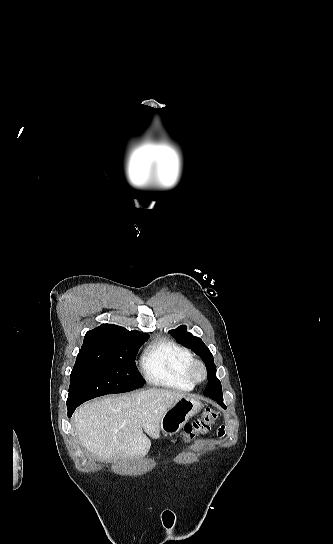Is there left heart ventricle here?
<instances>
[{"mask_svg": "<svg viewBox=\"0 0 333 544\" xmlns=\"http://www.w3.org/2000/svg\"><path fill=\"white\" fill-rule=\"evenodd\" d=\"M198 376H201V373H200V372H198Z\"/></svg>", "mask_w": 333, "mask_h": 544, "instance_id": "1", "label": "left heart ventricle"}]
</instances>
